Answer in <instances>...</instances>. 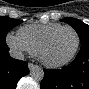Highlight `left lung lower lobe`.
Listing matches in <instances>:
<instances>
[{
  "label": "left lung lower lobe",
  "mask_w": 89,
  "mask_h": 89,
  "mask_svg": "<svg viewBox=\"0 0 89 89\" xmlns=\"http://www.w3.org/2000/svg\"><path fill=\"white\" fill-rule=\"evenodd\" d=\"M40 88L89 89V44L82 45L75 60L63 69H44Z\"/></svg>",
  "instance_id": "0a47b994"
}]
</instances>
